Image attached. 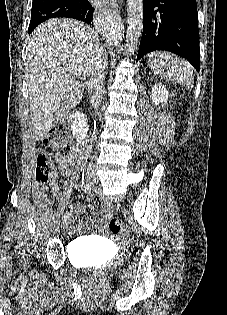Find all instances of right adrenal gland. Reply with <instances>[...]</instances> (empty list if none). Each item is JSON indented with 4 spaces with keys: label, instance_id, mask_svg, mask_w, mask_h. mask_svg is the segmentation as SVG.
Segmentation results:
<instances>
[{
    "label": "right adrenal gland",
    "instance_id": "2a0ac1e0",
    "mask_svg": "<svg viewBox=\"0 0 227 315\" xmlns=\"http://www.w3.org/2000/svg\"><path fill=\"white\" fill-rule=\"evenodd\" d=\"M103 54H104L105 66L107 67V65H108V61H107V55H106V52H105V51H103Z\"/></svg>",
    "mask_w": 227,
    "mask_h": 315
}]
</instances>
